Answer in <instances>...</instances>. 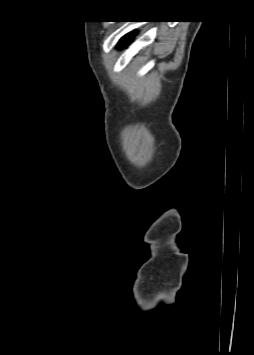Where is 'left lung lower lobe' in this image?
I'll list each match as a JSON object with an SVG mask.
<instances>
[{
	"mask_svg": "<svg viewBox=\"0 0 254 355\" xmlns=\"http://www.w3.org/2000/svg\"><path fill=\"white\" fill-rule=\"evenodd\" d=\"M132 39H133V34H132V33L127 34L125 37H123V38L120 40V42H119V44H118V47H119V48H123L124 45H125L127 42H130Z\"/></svg>",
	"mask_w": 254,
	"mask_h": 355,
	"instance_id": "0a47b994",
	"label": "left lung lower lobe"
}]
</instances>
